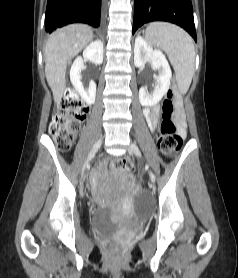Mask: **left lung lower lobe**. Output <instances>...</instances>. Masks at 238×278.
<instances>
[{
  "instance_id": "1",
  "label": "left lung lower lobe",
  "mask_w": 238,
  "mask_h": 278,
  "mask_svg": "<svg viewBox=\"0 0 238 278\" xmlns=\"http://www.w3.org/2000/svg\"><path fill=\"white\" fill-rule=\"evenodd\" d=\"M152 21L177 24L196 41L191 0H134L133 33L144 23Z\"/></svg>"
}]
</instances>
